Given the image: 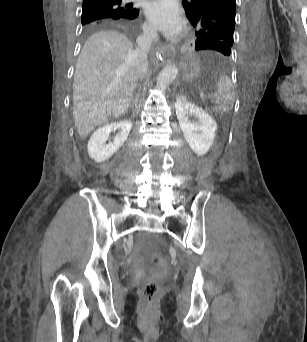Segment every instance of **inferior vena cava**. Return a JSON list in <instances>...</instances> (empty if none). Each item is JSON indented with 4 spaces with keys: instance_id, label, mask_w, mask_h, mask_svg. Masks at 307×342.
<instances>
[{
    "instance_id": "inferior-vena-cava-1",
    "label": "inferior vena cava",
    "mask_w": 307,
    "mask_h": 342,
    "mask_svg": "<svg viewBox=\"0 0 307 342\" xmlns=\"http://www.w3.org/2000/svg\"><path fill=\"white\" fill-rule=\"evenodd\" d=\"M155 38L156 32H154V30H150V28H146L142 36H138L136 40L138 48L133 52V56L135 58V68L139 78H144L148 70L147 54Z\"/></svg>"
}]
</instances>
